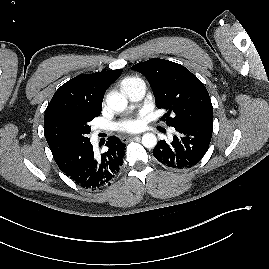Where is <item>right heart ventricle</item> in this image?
<instances>
[{
    "label": "right heart ventricle",
    "mask_w": 269,
    "mask_h": 269,
    "mask_svg": "<svg viewBox=\"0 0 269 269\" xmlns=\"http://www.w3.org/2000/svg\"><path fill=\"white\" fill-rule=\"evenodd\" d=\"M137 81H140V79L137 77H133V76L126 77L121 81L120 86L122 89H124Z\"/></svg>",
    "instance_id": "1"
}]
</instances>
